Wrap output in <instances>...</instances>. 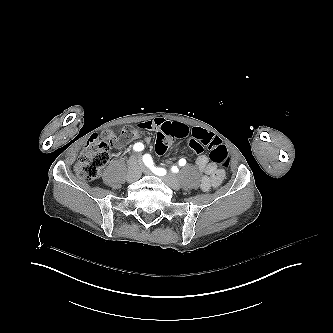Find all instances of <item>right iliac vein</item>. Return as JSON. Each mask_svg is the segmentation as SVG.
I'll use <instances>...</instances> for the list:
<instances>
[{
	"label": "right iliac vein",
	"mask_w": 333,
	"mask_h": 333,
	"mask_svg": "<svg viewBox=\"0 0 333 333\" xmlns=\"http://www.w3.org/2000/svg\"><path fill=\"white\" fill-rule=\"evenodd\" d=\"M140 170L137 164V160L135 158H131L128 162V173H127V181L135 182L139 179Z\"/></svg>",
	"instance_id": "1"
}]
</instances>
